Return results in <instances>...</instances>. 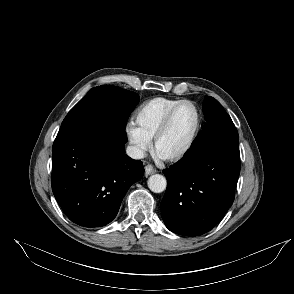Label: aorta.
I'll return each mask as SVG.
<instances>
[{
  "instance_id": "762f6f07",
  "label": "aorta",
  "mask_w": 294,
  "mask_h": 294,
  "mask_svg": "<svg viewBox=\"0 0 294 294\" xmlns=\"http://www.w3.org/2000/svg\"><path fill=\"white\" fill-rule=\"evenodd\" d=\"M148 187L154 193H161L166 189V178L160 174H154L148 179Z\"/></svg>"
}]
</instances>
